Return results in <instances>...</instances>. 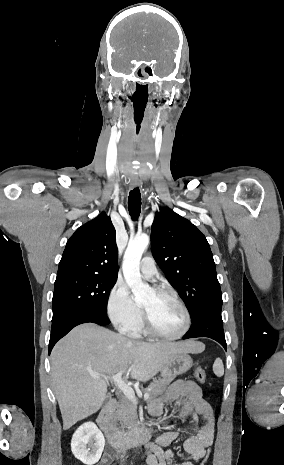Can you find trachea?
I'll return each instance as SVG.
<instances>
[{
    "mask_svg": "<svg viewBox=\"0 0 284 465\" xmlns=\"http://www.w3.org/2000/svg\"><path fill=\"white\" fill-rule=\"evenodd\" d=\"M128 210L132 220H138L141 213V194L138 187L131 190L129 194Z\"/></svg>",
    "mask_w": 284,
    "mask_h": 465,
    "instance_id": "trachea-1",
    "label": "trachea"
}]
</instances>
